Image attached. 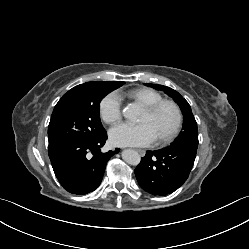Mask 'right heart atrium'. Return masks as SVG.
I'll use <instances>...</instances> for the list:
<instances>
[{
    "label": "right heart atrium",
    "mask_w": 249,
    "mask_h": 249,
    "mask_svg": "<svg viewBox=\"0 0 249 249\" xmlns=\"http://www.w3.org/2000/svg\"><path fill=\"white\" fill-rule=\"evenodd\" d=\"M99 113L101 119L107 124H115L121 118V101L117 94L110 93L100 102Z\"/></svg>",
    "instance_id": "1"
}]
</instances>
